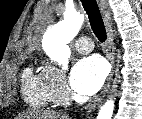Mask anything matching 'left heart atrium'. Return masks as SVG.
Returning <instances> with one entry per match:
<instances>
[{"mask_svg":"<svg viewBox=\"0 0 142 119\" xmlns=\"http://www.w3.org/2000/svg\"><path fill=\"white\" fill-rule=\"evenodd\" d=\"M106 77V65L98 56L79 60L72 69L70 85L81 95H92L97 92Z\"/></svg>","mask_w":142,"mask_h":119,"instance_id":"39dd6f15","label":"left heart atrium"}]
</instances>
